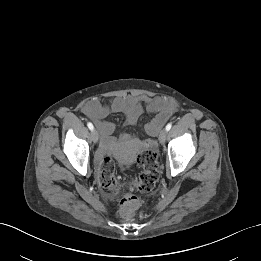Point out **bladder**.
<instances>
[{
  "instance_id": "31cf9c89",
  "label": "bladder",
  "mask_w": 261,
  "mask_h": 261,
  "mask_svg": "<svg viewBox=\"0 0 261 261\" xmlns=\"http://www.w3.org/2000/svg\"><path fill=\"white\" fill-rule=\"evenodd\" d=\"M128 139V138H125ZM136 154V150L127 153L122 147L116 149V156L119 162L128 164Z\"/></svg>"
}]
</instances>
